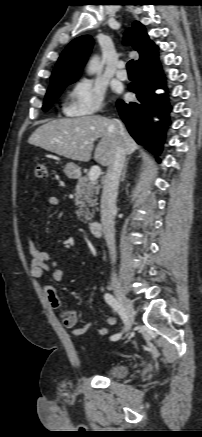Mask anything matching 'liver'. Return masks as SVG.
Masks as SVG:
<instances>
[{"instance_id": "obj_1", "label": "liver", "mask_w": 202, "mask_h": 437, "mask_svg": "<svg viewBox=\"0 0 202 437\" xmlns=\"http://www.w3.org/2000/svg\"><path fill=\"white\" fill-rule=\"evenodd\" d=\"M99 141L94 159L102 166H109L115 147L121 143L127 155L138 145L118 120L102 116L55 119L38 127L30 136L31 145L56 153L71 160L88 162L94 142Z\"/></svg>"}]
</instances>
